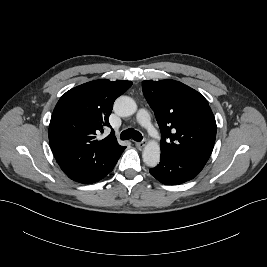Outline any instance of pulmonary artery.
<instances>
[{"label":"pulmonary artery","instance_id":"pulmonary-artery-1","mask_svg":"<svg viewBox=\"0 0 267 267\" xmlns=\"http://www.w3.org/2000/svg\"><path fill=\"white\" fill-rule=\"evenodd\" d=\"M137 121L140 125L147 128L151 135L155 134V128L153 127L150 115L146 110L142 109L138 112Z\"/></svg>","mask_w":267,"mask_h":267}]
</instances>
